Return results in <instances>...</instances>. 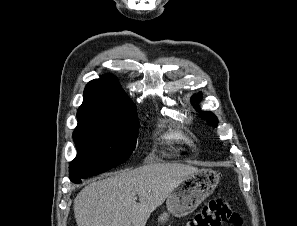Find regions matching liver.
Returning a JSON list of instances; mask_svg holds the SVG:
<instances>
[{
    "instance_id": "obj_1",
    "label": "liver",
    "mask_w": 297,
    "mask_h": 226,
    "mask_svg": "<svg viewBox=\"0 0 297 226\" xmlns=\"http://www.w3.org/2000/svg\"><path fill=\"white\" fill-rule=\"evenodd\" d=\"M198 171L179 163H150L92 182L74 200L77 226H145L176 185Z\"/></svg>"
}]
</instances>
